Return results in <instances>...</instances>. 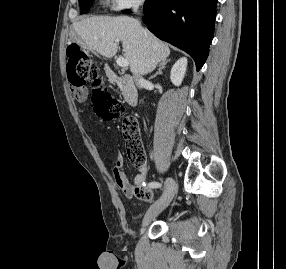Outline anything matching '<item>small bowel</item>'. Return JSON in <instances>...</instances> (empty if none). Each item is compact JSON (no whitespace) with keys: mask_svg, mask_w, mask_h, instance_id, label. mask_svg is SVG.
Segmentation results:
<instances>
[{"mask_svg":"<svg viewBox=\"0 0 286 269\" xmlns=\"http://www.w3.org/2000/svg\"><path fill=\"white\" fill-rule=\"evenodd\" d=\"M85 91L84 89L79 90V95L77 99H84ZM139 173L134 177L133 183H131L125 172H124V161L121 155L116 158L115 165L113 167V176L117 187L123 192V194L128 198H133L135 196V187L143 183L146 179L148 172L146 164L138 168Z\"/></svg>","mask_w":286,"mask_h":269,"instance_id":"obj_1","label":"small bowel"}]
</instances>
